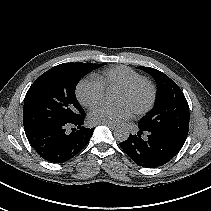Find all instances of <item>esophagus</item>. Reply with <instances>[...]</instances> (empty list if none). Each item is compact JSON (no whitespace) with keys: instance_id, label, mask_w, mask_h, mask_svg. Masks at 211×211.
<instances>
[{"instance_id":"obj_1","label":"esophagus","mask_w":211,"mask_h":211,"mask_svg":"<svg viewBox=\"0 0 211 211\" xmlns=\"http://www.w3.org/2000/svg\"><path fill=\"white\" fill-rule=\"evenodd\" d=\"M104 125L108 126L110 129H116V125L109 124V123H103Z\"/></svg>"}]
</instances>
